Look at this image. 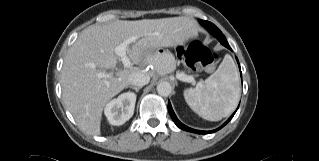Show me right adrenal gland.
<instances>
[{
    "label": "right adrenal gland",
    "mask_w": 319,
    "mask_h": 161,
    "mask_svg": "<svg viewBox=\"0 0 319 161\" xmlns=\"http://www.w3.org/2000/svg\"><path fill=\"white\" fill-rule=\"evenodd\" d=\"M131 88V89H133V90H135L136 92H139V90H140V88L141 87H133V86H127V88Z\"/></svg>",
    "instance_id": "obj_1"
}]
</instances>
